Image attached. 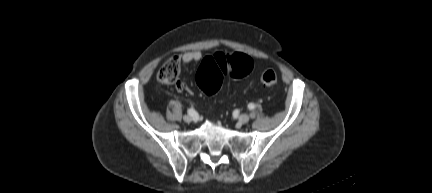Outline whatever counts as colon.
Masks as SVG:
<instances>
[{
	"label": "colon",
	"instance_id": "5ec220e1",
	"mask_svg": "<svg viewBox=\"0 0 432 193\" xmlns=\"http://www.w3.org/2000/svg\"><path fill=\"white\" fill-rule=\"evenodd\" d=\"M252 67V60L245 54L216 53L204 59L197 72L196 81L203 92L213 95L218 91L223 77H243L251 71ZM179 73V59L171 57L161 66L157 76L162 83L172 84L177 81ZM260 80L264 86L272 87L277 84L278 78L273 70H266Z\"/></svg>",
	"mask_w": 432,
	"mask_h": 193
}]
</instances>
